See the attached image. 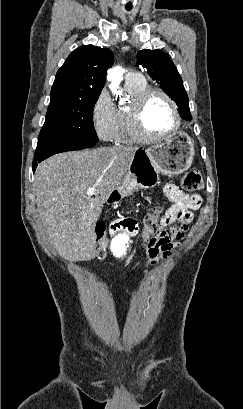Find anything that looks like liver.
Returning a JSON list of instances; mask_svg holds the SVG:
<instances>
[{"mask_svg":"<svg viewBox=\"0 0 243 409\" xmlns=\"http://www.w3.org/2000/svg\"><path fill=\"white\" fill-rule=\"evenodd\" d=\"M138 147H101L54 155L35 172L39 220L50 244L67 260L93 249L95 224L110 194L122 184ZM95 187L94 196H87Z\"/></svg>","mask_w":243,"mask_h":409,"instance_id":"liver-1","label":"liver"}]
</instances>
